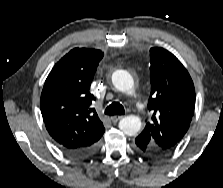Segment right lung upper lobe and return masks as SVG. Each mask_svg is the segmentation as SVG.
<instances>
[{"instance_id":"cb5924a9","label":"right lung upper lobe","mask_w":223,"mask_h":188,"mask_svg":"<svg viewBox=\"0 0 223 188\" xmlns=\"http://www.w3.org/2000/svg\"><path fill=\"white\" fill-rule=\"evenodd\" d=\"M103 53L75 48L48 75L40 99L46 129L59 146L86 148L98 143L105 128L91 103V82Z\"/></svg>"}]
</instances>
